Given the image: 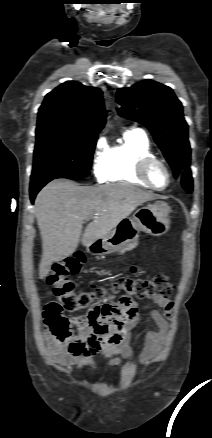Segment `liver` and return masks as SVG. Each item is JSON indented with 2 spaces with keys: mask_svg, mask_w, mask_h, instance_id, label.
Here are the masks:
<instances>
[{
  "mask_svg": "<svg viewBox=\"0 0 212 438\" xmlns=\"http://www.w3.org/2000/svg\"><path fill=\"white\" fill-rule=\"evenodd\" d=\"M159 197L122 183L90 187L69 180H54L47 184L35 200V215L42 239L40 279L48 275L53 262L74 253L85 218H93L82 236L83 246L89 247L105 238L138 206Z\"/></svg>",
  "mask_w": 212,
  "mask_h": 438,
  "instance_id": "6515ba94",
  "label": "liver"
}]
</instances>
